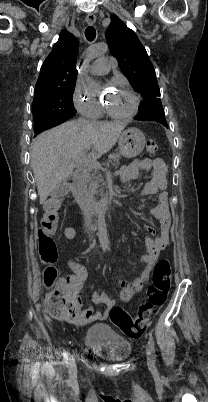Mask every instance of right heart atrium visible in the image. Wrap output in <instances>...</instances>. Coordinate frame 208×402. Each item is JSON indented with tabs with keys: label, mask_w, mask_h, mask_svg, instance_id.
Returning <instances> with one entry per match:
<instances>
[{
	"label": "right heart atrium",
	"mask_w": 208,
	"mask_h": 402,
	"mask_svg": "<svg viewBox=\"0 0 208 402\" xmlns=\"http://www.w3.org/2000/svg\"><path fill=\"white\" fill-rule=\"evenodd\" d=\"M72 98L76 108L88 119L97 120L102 115V106L98 97L86 86L77 82L72 90Z\"/></svg>",
	"instance_id": "obj_1"
}]
</instances>
